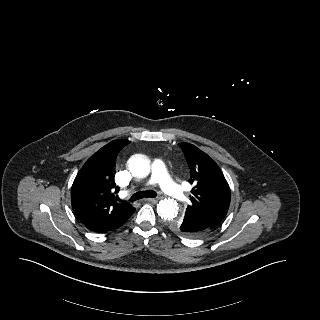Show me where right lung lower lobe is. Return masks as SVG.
Here are the masks:
<instances>
[{
  "label": "right lung lower lobe",
  "instance_id": "1",
  "mask_svg": "<svg viewBox=\"0 0 320 320\" xmlns=\"http://www.w3.org/2000/svg\"><path fill=\"white\" fill-rule=\"evenodd\" d=\"M127 220H128V219H127ZM127 220L122 221V222H119V223L114 224V225L106 226V227L102 228L101 230H99V231H97V232H99V233H107V232H109V231H113V230L119 228L120 226H122Z\"/></svg>",
  "mask_w": 320,
  "mask_h": 320
}]
</instances>
